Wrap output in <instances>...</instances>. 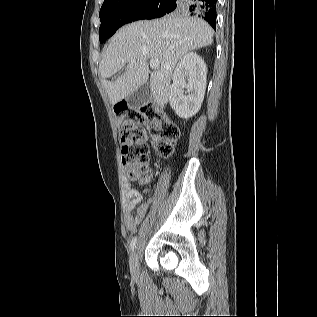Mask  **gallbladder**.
Wrapping results in <instances>:
<instances>
[{
  "label": "gallbladder",
  "instance_id": "bac80fb5",
  "mask_svg": "<svg viewBox=\"0 0 317 317\" xmlns=\"http://www.w3.org/2000/svg\"><path fill=\"white\" fill-rule=\"evenodd\" d=\"M150 99L151 89L149 83H146L130 94L126 101L131 108L137 109L148 103Z\"/></svg>",
  "mask_w": 317,
  "mask_h": 317
}]
</instances>
